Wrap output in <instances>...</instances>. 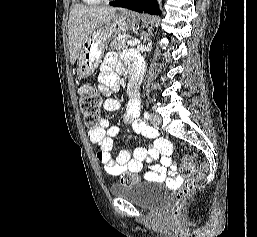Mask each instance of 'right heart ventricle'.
Here are the masks:
<instances>
[{
  "label": "right heart ventricle",
  "instance_id": "obj_1",
  "mask_svg": "<svg viewBox=\"0 0 257 237\" xmlns=\"http://www.w3.org/2000/svg\"><path fill=\"white\" fill-rule=\"evenodd\" d=\"M86 5H98L101 0H82Z\"/></svg>",
  "mask_w": 257,
  "mask_h": 237
}]
</instances>
